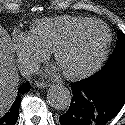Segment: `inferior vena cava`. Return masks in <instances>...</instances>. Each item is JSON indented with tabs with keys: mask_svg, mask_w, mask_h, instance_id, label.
<instances>
[{
	"mask_svg": "<svg viewBox=\"0 0 125 125\" xmlns=\"http://www.w3.org/2000/svg\"><path fill=\"white\" fill-rule=\"evenodd\" d=\"M38 66H36V65H28L27 67H26V69H25V75H30V74H33V73H35L36 71H38Z\"/></svg>",
	"mask_w": 125,
	"mask_h": 125,
	"instance_id": "602c4592",
	"label": "inferior vena cava"
}]
</instances>
